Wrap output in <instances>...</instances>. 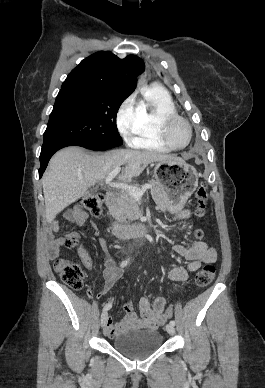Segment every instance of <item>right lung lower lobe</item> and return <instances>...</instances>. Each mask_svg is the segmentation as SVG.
Masks as SVG:
<instances>
[{
  "label": "right lung lower lobe",
  "instance_id": "right-lung-lower-lobe-1",
  "mask_svg": "<svg viewBox=\"0 0 265 388\" xmlns=\"http://www.w3.org/2000/svg\"><path fill=\"white\" fill-rule=\"evenodd\" d=\"M81 146L89 149L87 146H85L83 143L72 141V140H59L52 142L48 145H43L41 149L40 154V169H39V177H41L47 167L48 161L52 157V155L59 149L66 147V146Z\"/></svg>",
  "mask_w": 265,
  "mask_h": 388
}]
</instances>
